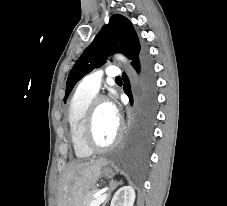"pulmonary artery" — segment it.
I'll use <instances>...</instances> for the list:
<instances>
[{"mask_svg":"<svg viewBox=\"0 0 227 206\" xmlns=\"http://www.w3.org/2000/svg\"><path fill=\"white\" fill-rule=\"evenodd\" d=\"M120 73L121 72L118 67L108 66L104 71L98 70L84 77L79 85V88L84 91L96 94L100 89L104 75H106L108 78H116L120 76Z\"/></svg>","mask_w":227,"mask_h":206,"instance_id":"obj_1","label":"pulmonary artery"}]
</instances>
